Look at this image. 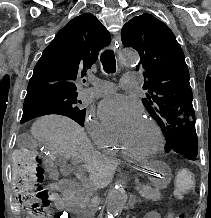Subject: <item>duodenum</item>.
<instances>
[{
  "mask_svg": "<svg viewBox=\"0 0 211 218\" xmlns=\"http://www.w3.org/2000/svg\"><path fill=\"white\" fill-rule=\"evenodd\" d=\"M58 188L62 193L66 210L72 218H81V210L75 196V185L69 179H63L58 182Z\"/></svg>",
  "mask_w": 211,
  "mask_h": 218,
  "instance_id": "410a0bca",
  "label": "duodenum"
}]
</instances>
